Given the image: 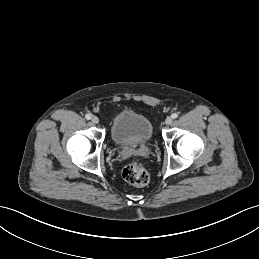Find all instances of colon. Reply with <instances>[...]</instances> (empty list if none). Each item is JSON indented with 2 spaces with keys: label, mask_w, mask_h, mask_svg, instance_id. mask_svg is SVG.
Returning <instances> with one entry per match:
<instances>
[{
  "label": "colon",
  "mask_w": 259,
  "mask_h": 259,
  "mask_svg": "<svg viewBox=\"0 0 259 259\" xmlns=\"http://www.w3.org/2000/svg\"><path fill=\"white\" fill-rule=\"evenodd\" d=\"M124 180L134 186H144L149 181L147 171L137 162L129 163L122 172Z\"/></svg>",
  "instance_id": "1"
}]
</instances>
